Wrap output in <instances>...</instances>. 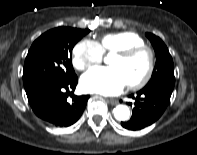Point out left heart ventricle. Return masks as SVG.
I'll return each mask as SVG.
<instances>
[{"label":"left heart ventricle","mask_w":197,"mask_h":155,"mask_svg":"<svg viewBox=\"0 0 197 155\" xmlns=\"http://www.w3.org/2000/svg\"><path fill=\"white\" fill-rule=\"evenodd\" d=\"M109 65L118 69L123 75L127 84L140 80L148 67L146 54H138L130 58H122L113 55L109 59Z\"/></svg>","instance_id":"obj_1"}]
</instances>
